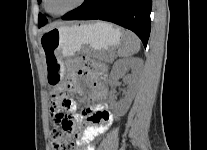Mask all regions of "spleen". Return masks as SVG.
I'll return each instance as SVG.
<instances>
[{"instance_id": "spleen-1", "label": "spleen", "mask_w": 207, "mask_h": 150, "mask_svg": "<svg viewBox=\"0 0 207 150\" xmlns=\"http://www.w3.org/2000/svg\"><path fill=\"white\" fill-rule=\"evenodd\" d=\"M140 50L139 38L130 31L123 32V41L118 49V55L120 57H130Z\"/></svg>"}]
</instances>
